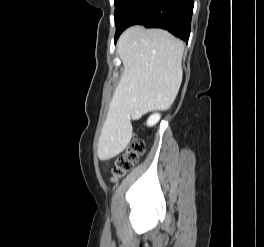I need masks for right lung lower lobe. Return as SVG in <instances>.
<instances>
[{
  "mask_svg": "<svg viewBox=\"0 0 264 247\" xmlns=\"http://www.w3.org/2000/svg\"><path fill=\"white\" fill-rule=\"evenodd\" d=\"M194 0H129L116 24L115 42L129 26L162 28L188 42Z\"/></svg>",
  "mask_w": 264,
  "mask_h": 247,
  "instance_id": "98d812e1",
  "label": "right lung lower lobe"
}]
</instances>
